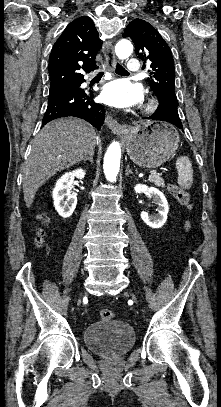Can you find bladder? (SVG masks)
<instances>
[{
    "mask_svg": "<svg viewBox=\"0 0 221 407\" xmlns=\"http://www.w3.org/2000/svg\"><path fill=\"white\" fill-rule=\"evenodd\" d=\"M84 341L90 351L112 358L132 349L135 332L124 321L97 322L85 328Z\"/></svg>",
    "mask_w": 221,
    "mask_h": 407,
    "instance_id": "obj_1",
    "label": "bladder"
}]
</instances>
